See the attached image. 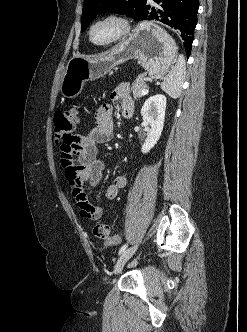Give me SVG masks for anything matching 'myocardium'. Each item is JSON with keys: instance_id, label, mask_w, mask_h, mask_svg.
Wrapping results in <instances>:
<instances>
[{"instance_id": "obj_1", "label": "myocardium", "mask_w": 247, "mask_h": 332, "mask_svg": "<svg viewBox=\"0 0 247 332\" xmlns=\"http://www.w3.org/2000/svg\"><path fill=\"white\" fill-rule=\"evenodd\" d=\"M106 21H113L119 25L120 30H119L118 34L113 39L106 41V42L94 41L93 37H92L93 29L95 28L96 25H98L102 22H106ZM130 30H131L130 22L125 16H123L121 14H117V13H109V14H106V15H103V16L97 18L96 20H94L91 23V25L89 26V29H88V38H89V41L96 46L107 47V46H111V45H114V44L122 41L124 38L127 37Z\"/></svg>"}]
</instances>
